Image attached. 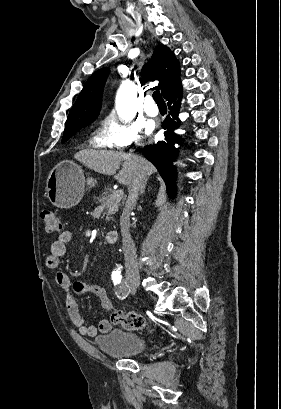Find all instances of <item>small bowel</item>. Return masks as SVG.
Listing matches in <instances>:
<instances>
[{"label":"small bowel","instance_id":"small-bowel-1","mask_svg":"<svg viewBox=\"0 0 281 409\" xmlns=\"http://www.w3.org/2000/svg\"><path fill=\"white\" fill-rule=\"evenodd\" d=\"M72 233L69 230L62 231L57 239L51 245V251L46 259V266L50 270H56L55 280L61 289L65 292V306L68 317L72 324L77 328L78 333L82 336L95 337L99 333L111 332L113 325L116 324L112 319H104L98 325H88L85 322L79 308V304L71 293L75 290L78 293H86L96 296L107 310H113V304L106 290L103 287L86 284L84 282H72L68 274L58 270L60 257L66 252V246L71 241ZM116 311H113V313ZM112 313V314H113ZM112 316V315H111Z\"/></svg>","mask_w":281,"mask_h":409}]
</instances>
